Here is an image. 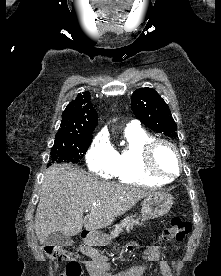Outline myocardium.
I'll list each match as a JSON object with an SVG mask.
<instances>
[{"instance_id": "1", "label": "myocardium", "mask_w": 221, "mask_h": 276, "mask_svg": "<svg viewBox=\"0 0 221 276\" xmlns=\"http://www.w3.org/2000/svg\"><path fill=\"white\" fill-rule=\"evenodd\" d=\"M161 145H165L169 147L175 154L177 165H178L177 171L175 173L166 174L161 172L157 168L155 164V152L157 148ZM141 158H142V165L145 172L149 176L159 180L169 181V180L175 179L181 173L182 166H183L182 158L178 148L171 141L162 139V138H153L150 141L146 142L142 147Z\"/></svg>"}]
</instances>
